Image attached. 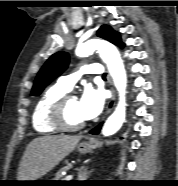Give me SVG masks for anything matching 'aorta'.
<instances>
[{
	"mask_svg": "<svg viewBox=\"0 0 178 186\" xmlns=\"http://www.w3.org/2000/svg\"><path fill=\"white\" fill-rule=\"evenodd\" d=\"M95 50L98 51L102 60L107 64L109 73L119 93L118 105L112 115L107 119L102 129V134L104 136H110L121 128L125 120L127 76L117 48L105 40L92 39L80 44L76 48L75 54L78 57H86L91 55Z\"/></svg>",
	"mask_w": 178,
	"mask_h": 186,
	"instance_id": "1",
	"label": "aorta"
}]
</instances>
